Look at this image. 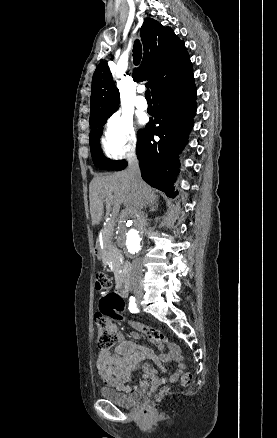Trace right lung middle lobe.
<instances>
[{"label": "right lung middle lobe", "instance_id": "right-lung-middle-lobe-1", "mask_svg": "<svg viewBox=\"0 0 277 438\" xmlns=\"http://www.w3.org/2000/svg\"><path fill=\"white\" fill-rule=\"evenodd\" d=\"M105 122H97L90 123L91 132H90V150L92 154V159L96 167L104 170H114L117 168L123 161H111L106 159L102 154L99 140L102 134L103 125Z\"/></svg>", "mask_w": 277, "mask_h": 438}]
</instances>
